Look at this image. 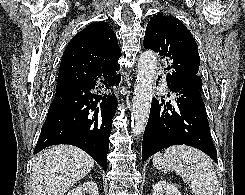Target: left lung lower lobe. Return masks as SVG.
I'll return each mask as SVG.
<instances>
[{
  "mask_svg": "<svg viewBox=\"0 0 245 195\" xmlns=\"http://www.w3.org/2000/svg\"><path fill=\"white\" fill-rule=\"evenodd\" d=\"M175 102L153 98L142 142V162L160 150L177 144L195 147L217 162L200 90L167 80Z\"/></svg>",
  "mask_w": 245,
  "mask_h": 195,
  "instance_id": "obj_1",
  "label": "left lung lower lobe"
}]
</instances>
